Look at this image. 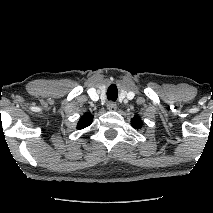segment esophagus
<instances>
[{
	"mask_svg": "<svg viewBox=\"0 0 213 213\" xmlns=\"http://www.w3.org/2000/svg\"><path fill=\"white\" fill-rule=\"evenodd\" d=\"M107 109L109 111H116L117 110V105L114 102H109L107 104Z\"/></svg>",
	"mask_w": 213,
	"mask_h": 213,
	"instance_id": "obj_1",
	"label": "esophagus"
}]
</instances>
